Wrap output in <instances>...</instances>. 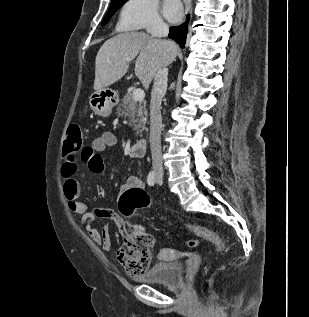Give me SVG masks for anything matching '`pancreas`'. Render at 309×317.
Listing matches in <instances>:
<instances>
[{
  "instance_id": "cf45deb5",
  "label": "pancreas",
  "mask_w": 309,
  "mask_h": 317,
  "mask_svg": "<svg viewBox=\"0 0 309 317\" xmlns=\"http://www.w3.org/2000/svg\"><path fill=\"white\" fill-rule=\"evenodd\" d=\"M118 112L124 117L134 115L136 117L135 122V134L140 135L146 126L147 121V110L145 102H137L133 99L132 93H127L120 107H118Z\"/></svg>"
}]
</instances>
